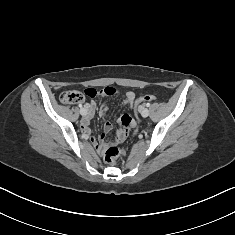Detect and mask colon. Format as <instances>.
Here are the masks:
<instances>
[{"instance_id": "obj_1", "label": "colon", "mask_w": 235, "mask_h": 235, "mask_svg": "<svg viewBox=\"0 0 235 235\" xmlns=\"http://www.w3.org/2000/svg\"><path fill=\"white\" fill-rule=\"evenodd\" d=\"M113 93V88L106 87L104 89H96L93 87L87 88L84 92L77 90L65 91L60 95V101L63 104H75L86 96L89 98H94L97 96L111 95ZM157 97L153 94H147L140 96L135 100V107L137 108L140 104L146 102L155 101ZM122 129L117 132L116 136L108 143V145L103 149L104 160L107 164H114L118 159L123 156V151H121L117 144L123 142L129 133L131 127L135 124V121L128 114L123 115L120 118Z\"/></svg>"}]
</instances>
